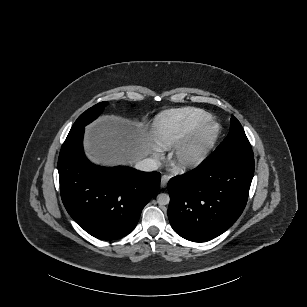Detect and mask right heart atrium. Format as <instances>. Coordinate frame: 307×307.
<instances>
[{
  "label": "right heart atrium",
  "instance_id": "1",
  "mask_svg": "<svg viewBox=\"0 0 307 307\" xmlns=\"http://www.w3.org/2000/svg\"><path fill=\"white\" fill-rule=\"evenodd\" d=\"M152 157H153V159L156 160V159H158L159 154L157 152H153Z\"/></svg>",
  "mask_w": 307,
  "mask_h": 307
}]
</instances>
